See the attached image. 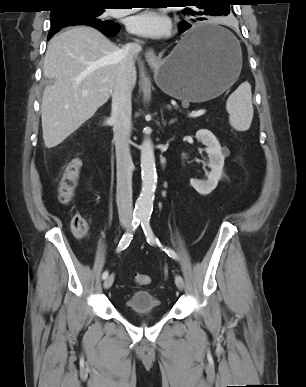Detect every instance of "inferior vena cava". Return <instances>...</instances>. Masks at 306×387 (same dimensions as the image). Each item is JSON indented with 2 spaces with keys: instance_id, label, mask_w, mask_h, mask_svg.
<instances>
[{
  "instance_id": "inferior-vena-cava-1",
  "label": "inferior vena cava",
  "mask_w": 306,
  "mask_h": 387,
  "mask_svg": "<svg viewBox=\"0 0 306 387\" xmlns=\"http://www.w3.org/2000/svg\"><path fill=\"white\" fill-rule=\"evenodd\" d=\"M139 43H128L120 50L118 75L112 92V113L114 144L117 165V207L120 222H131L132 207V171L130 154L131 133V93L133 89V71L135 57L141 51Z\"/></svg>"
}]
</instances>
